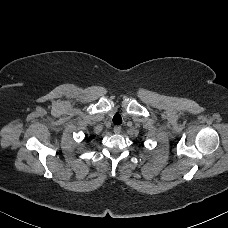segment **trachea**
Here are the masks:
<instances>
[{
	"mask_svg": "<svg viewBox=\"0 0 228 228\" xmlns=\"http://www.w3.org/2000/svg\"><path fill=\"white\" fill-rule=\"evenodd\" d=\"M113 123L115 125H120L122 123V117L119 113H116L114 116H113Z\"/></svg>",
	"mask_w": 228,
	"mask_h": 228,
	"instance_id": "1",
	"label": "trachea"
}]
</instances>
